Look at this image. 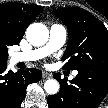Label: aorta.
<instances>
[{
  "mask_svg": "<svg viewBox=\"0 0 108 108\" xmlns=\"http://www.w3.org/2000/svg\"><path fill=\"white\" fill-rule=\"evenodd\" d=\"M26 38L33 46L44 45L49 38V30L42 23H32L26 30ZM45 91L54 95L59 91V83L55 79H49L44 83Z\"/></svg>",
  "mask_w": 108,
  "mask_h": 108,
  "instance_id": "762f6f07",
  "label": "aorta"
}]
</instances>
